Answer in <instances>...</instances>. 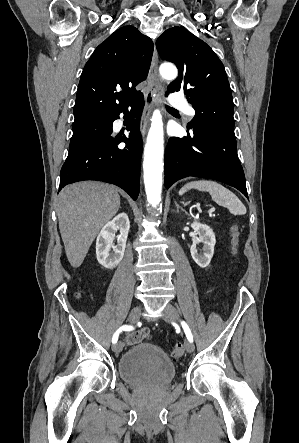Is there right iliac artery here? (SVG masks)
Wrapping results in <instances>:
<instances>
[{
    "label": "right iliac artery",
    "instance_id": "right-iliac-artery-1",
    "mask_svg": "<svg viewBox=\"0 0 299 443\" xmlns=\"http://www.w3.org/2000/svg\"><path fill=\"white\" fill-rule=\"evenodd\" d=\"M134 329V327L132 326V325H123V326H121L115 333H114V335H113V337H112V343L113 344H115L117 341H118V337H119V334L122 332V331H131V330H133Z\"/></svg>",
    "mask_w": 299,
    "mask_h": 443
}]
</instances>
